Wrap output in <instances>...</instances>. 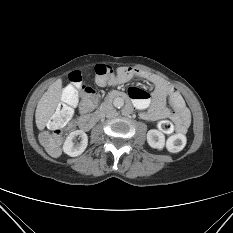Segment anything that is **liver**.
<instances>
[{
    "instance_id": "6515ba94",
    "label": "liver",
    "mask_w": 233,
    "mask_h": 233,
    "mask_svg": "<svg viewBox=\"0 0 233 233\" xmlns=\"http://www.w3.org/2000/svg\"><path fill=\"white\" fill-rule=\"evenodd\" d=\"M62 95V80L58 79L51 84L39 100L35 112L36 126L43 130L55 112Z\"/></svg>"
}]
</instances>
